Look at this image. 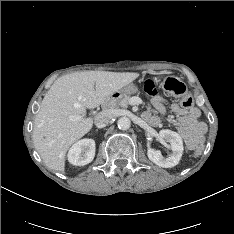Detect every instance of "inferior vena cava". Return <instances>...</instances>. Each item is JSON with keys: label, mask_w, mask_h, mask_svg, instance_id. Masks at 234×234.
I'll return each mask as SVG.
<instances>
[{"label": "inferior vena cava", "mask_w": 234, "mask_h": 234, "mask_svg": "<svg viewBox=\"0 0 234 234\" xmlns=\"http://www.w3.org/2000/svg\"><path fill=\"white\" fill-rule=\"evenodd\" d=\"M113 116L108 111H102L95 117V125L97 128H103L109 124Z\"/></svg>", "instance_id": "602c4592"}]
</instances>
